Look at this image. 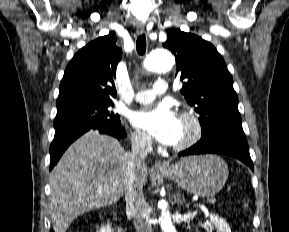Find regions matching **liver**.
Instances as JSON below:
<instances>
[{
	"label": "liver",
	"instance_id": "obj_1",
	"mask_svg": "<svg viewBox=\"0 0 289 232\" xmlns=\"http://www.w3.org/2000/svg\"><path fill=\"white\" fill-rule=\"evenodd\" d=\"M126 154L117 139L97 131L85 133L66 150L49 178V213L55 232H66L78 216L123 196ZM136 176L143 187L144 165L136 169Z\"/></svg>",
	"mask_w": 289,
	"mask_h": 232
}]
</instances>
